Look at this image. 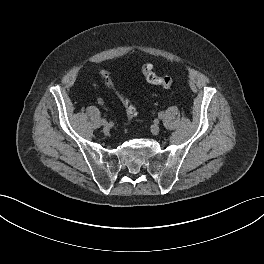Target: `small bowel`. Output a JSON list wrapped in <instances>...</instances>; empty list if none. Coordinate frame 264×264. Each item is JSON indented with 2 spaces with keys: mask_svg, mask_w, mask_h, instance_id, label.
Listing matches in <instances>:
<instances>
[{
  "mask_svg": "<svg viewBox=\"0 0 264 264\" xmlns=\"http://www.w3.org/2000/svg\"><path fill=\"white\" fill-rule=\"evenodd\" d=\"M98 103H99L100 105H103V104H104L103 99H99V100H98Z\"/></svg>",
  "mask_w": 264,
  "mask_h": 264,
  "instance_id": "c3829d8e",
  "label": "small bowel"
}]
</instances>
